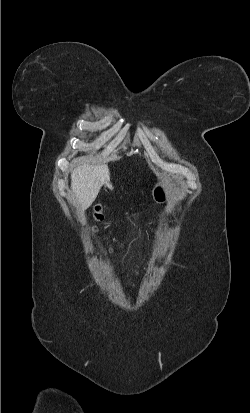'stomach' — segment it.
<instances>
[{"instance_id": "obj_1", "label": "stomach", "mask_w": 250, "mask_h": 413, "mask_svg": "<svg viewBox=\"0 0 250 413\" xmlns=\"http://www.w3.org/2000/svg\"><path fill=\"white\" fill-rule=\"evenodd\" d=\"M180 190V185L169 179L159 180L153 188L152 196L157 204H164Z\"/></svg>"}]
</instances>
